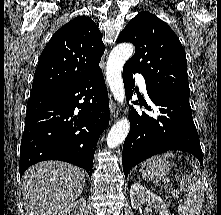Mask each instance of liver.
<instances>
[{"label": "liver", "mask_w": 221, "mask_h": 215, "mask_svg": "<svg viewBox=\"0 0 221 215\" xmlns=\"http://www.w3.org/2000/svg\"><path fill=\"white\" fill-rule=\"evenodd\" d=\"M85 185L84 171L61 161H43L23 175L25 215H57L73 203Z\"/></svg>", "instance_id": "liver-1"}]
</instances>
